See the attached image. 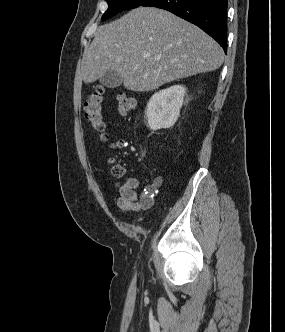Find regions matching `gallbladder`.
Returning a JSON list of instances; mask_svg holds the SVG:
<instances>
[{"label":"gallbladder","mask_w":285,"mask_h":332,"mask_svg":"<svg viewBox=\"0 0 285 332\" xmlns=\"http://www.w3.org/2000/svg\"><path fill=\"white\" fill-rule=\"evenodd\" d=\"M122 82V77L115 71H108L100 78V83L107 88H116L120 86Z\"/></svg>","instance_id":"bac80fb5"}]
</instances>
